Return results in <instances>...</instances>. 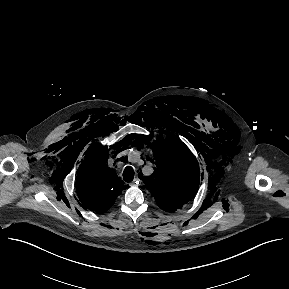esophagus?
<instances>
[{"label": "esophagus", "instance_id": "esophagus-1", "mask_svg": "<svg viewBox=\"0 0 289 289\" xmlns=\"http://www.w3.org/2000/svg\"><path fill=\"white\" fill-rule=\"evenodd\" d=\"M139 182H140V178L138 177V175L135 177V179H134V181H133V183L132 184H139Z\"/></svg>", "mask_w": 289, "mask_h": 289}]
</instances>
